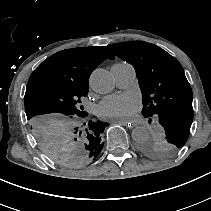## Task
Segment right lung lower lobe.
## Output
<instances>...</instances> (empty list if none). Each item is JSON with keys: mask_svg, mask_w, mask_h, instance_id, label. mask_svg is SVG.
Wrapping results in <instances>:
<instances>
[{"mask_svg": "<svg viewBox=\"0 0 211 211\" xmlns=\"http://www.w3.org/2000/svg\"><path fill=\"white\" fill-rule=\"evenodd\" d=\"M102 148H103V143H100V144L98 145L97 149L94 151V155H95V156H98V155L100 154Z\"/></svg>", "mask_w": 211, "mask_h": 211, "instance_id": "right-lung-lower-lobe-1", "label": "right lung lower lobe"}]
</instances>
